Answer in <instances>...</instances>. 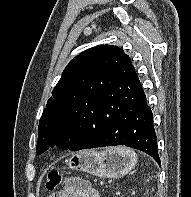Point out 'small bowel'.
Wrapping results in <instances>:
<instances>
[{
  "instance_id": "small-bowel-1",
  "label": "small bowel",
  "mask_w": 191,
  "mask_h": 197,
  "mask_svg": "<svg viewBox=\"0 0 191 197\" xmlns=\"http://www.w3.org/2000/svg\"><path fill=\"white\" fill-rule=\"evenodd\" d=\"M49 197H98L91 185L84 181H68L62 189Z\"/></svg>"
}]
</instances>
